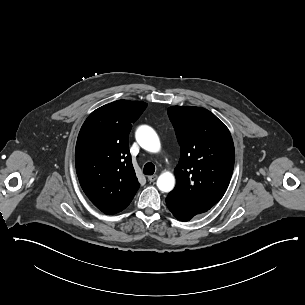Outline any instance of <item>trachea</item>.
I'll return each mask as SVG.
<instances>
[{"label": "trachea", "instance_id": "3493384b", "mask_svg": "<svg viewBox=\"0 0 305 305\" xmlns=\"http://www.w3.org/2000/svg\"><path fill=\"white\" fill-rule=\"evenodd\" d=\"M154 172H155V165L151 162L146 163L143 168V173L145 175H153Z\"/></svg>", "mask_w": 305, "mask_h": 305}]
</instances>
